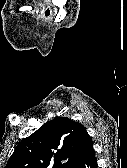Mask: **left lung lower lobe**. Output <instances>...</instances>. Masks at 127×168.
I'll list each match as a JSON object with an SVG mask.
<instances>
[{
    "instance_id": "left-lung-lower-lobe-1",
    "label": "left lung lower lobe",
    "mask_w": 127,
    "mask_h": 168,
    "mask_svg": "<svg viewBox=\"0 0 127 168\" xmlns=\"http://www.w3.org/2000/svg\"><path fill=\"white\" fill-rule=\"evenodd\" d=\"M75 168H97L93 141L89 137L83 144Z\"/></svg>"
}]
</instances>
